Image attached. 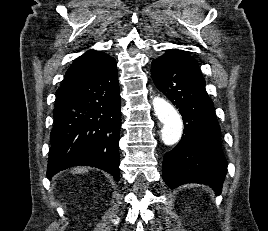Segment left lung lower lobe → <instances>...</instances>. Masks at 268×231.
I'll list each match as a JSON object with an SVG mask.
<instances>
[{
	"mask_svg": "<svg viewBox=\"0 0 268 231\" xmlns=\"http://www.w3.org/2000/svg\"><path fill=\"white\" fill-rule=\"evenodd\" d=\"M151 76L156 87L179 109L184 122L180 142L164 155V182L171 189L186 183L205 184L220 194L227 162L203 75L159 57L152 61Z\"/></svg>",
	"mask_w": 268,
	"mask_h": 231,
	"instance_id": "1",
	"label": "left lung lower lobe"
}]
</instances>
